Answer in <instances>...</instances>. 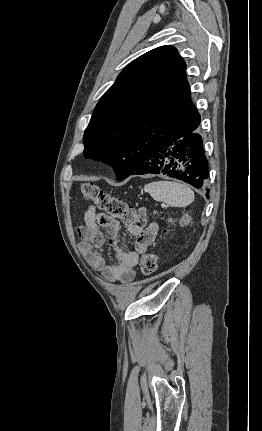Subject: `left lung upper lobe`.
<instances>
[{"mask_svg":"<svg viewBox=\"0 0 262 431\" xmlns=\"http://www.w3.org/2000/svg\"><path fill=\"white\" fill-rule=\"evenodd\" d=\"M185 69L171 46L127 65L94 109L83 136L84 157L111 165L117 180H123L141 156L198 120Z\"/></svg>","mask_w":262,"mask_h":431,"instance_id":"5c2ea615","label":"left lung upper lobe"}]
</instances>
